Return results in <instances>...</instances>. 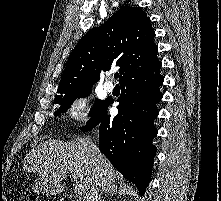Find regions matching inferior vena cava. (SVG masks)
<instances>
[{"label":"inferior vena cava","mask_w":221,"mask_h":201,"mask_svg":"<svg viewBox=\"0 0 221 201\" xmlns=\"http://www.w3.org/2000/svg\"><path fill=\"white\" fill-rule=\"evenodd\" d=\"M90 146H91L92 153L95 154L97 151L96 146L92 142ZM99 188H100V183L96 178L94 184L92 185L91 192L88 197V201H98Z\"/></svg>","instance_id":"inferior-vena-cava-1"}]
</instances>
